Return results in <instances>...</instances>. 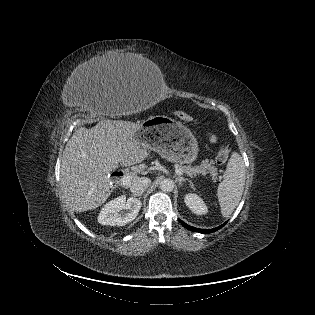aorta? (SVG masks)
I'll use <instances>...</instances> for the list:
<instances>
[{"mask_svg":"<svg viewBox=\"0 0 315 315\" xmlns=\"http://www.w3.org/2000/svg\"><path fill=\"white\" fill-rule=\"evenodd\" d=\"M174 181L166 178L160 182V189L165 192H171L174 189Z\"/></svg>","mask_w":315,"mask_h":315,"instance_id":"obj_1","label":"aorta"}]
</instances>
